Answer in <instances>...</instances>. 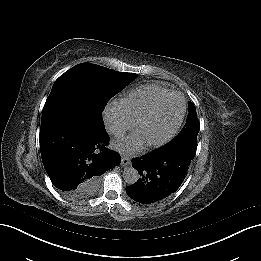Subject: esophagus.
Here are the masks:
<instances>
[{
    "mask_svg": "<svg viewBox=\"0 0 261 261\" xmlns=\"http://www.w3.org/2000/svg\"><path fill=\"white\" fill-rule=\"evenodd\" d=\"M130 162L131 161H130V158L128 156H125V155L122 156V160H121L122 166H127V165L130 164Z\"/></svg>",
    "mask_w": 261,
    "mask_h": 261,
    "instance_id": "34e87169",
    "label": "esophagus"
}]
</instances>
